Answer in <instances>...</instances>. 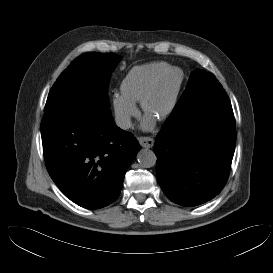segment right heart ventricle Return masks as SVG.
Returning <instances> with one entry per match:
<instances>
[{"label": "right heart ventricle", "mask_w": 273, "mask_h": 273, "mask_svg": "<svg viewBox=\"0 0 273 273\" xmlns=\"http://www.w3.org/2000/svg\"><path fill=\"white\" fill-rule=\"evenodd\" d=\"M167 67V64L161 62L147 63L134 67L121 85V95L133 104L140 101L147 85L158 72Z\"/></svg>", "instance_id": "right-heart-ventricle-1"}]
</instances>
